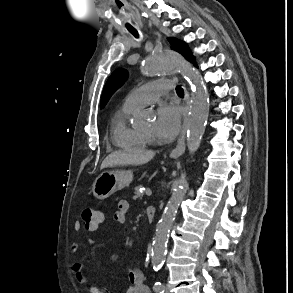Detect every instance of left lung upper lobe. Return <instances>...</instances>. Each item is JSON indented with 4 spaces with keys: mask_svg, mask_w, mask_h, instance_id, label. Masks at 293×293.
<instances>
[{
    "mask_svg": "<svg viewBox=\"0 0 293 293\" xmlns=\"http://www.w3.org/2000/svg\"><path fill=\"white\" fill-rule=\"evenodd\" d=\"M174 49L179 51L182 55L185 56L188 60L193 58L191 51L189 50L188 46L177 39L169 38L168 39ZM127 71L124 69H118L112 73L109 77L108 81L105 84L101 103L100 106L103 107L107 101L109 100L110 96L120 87L127 79Z\"/></svg>",
    "mask_w": 293,
    "mask_h": 293,
    "instance_id": "obj_1",
    "label": "left lung upper lobe"
}]
</instances>
